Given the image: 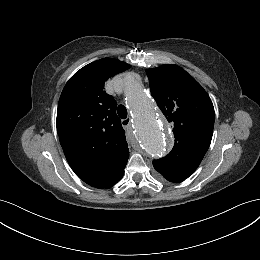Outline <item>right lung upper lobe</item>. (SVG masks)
Masks as SVG:
<instances>
[{
    "label": "right lung upper lobe",
    "instance_id": "obj_1",
    "mask_svg": "<svg viewBox=\"0 0 260 260\" xmlns=\"http://www.w3.org/2000/svg\"><path fill=\"white\" fill-rule=\"evenodd\" d=\"M130 65L104 58L77 71L58 103L57 132L76 175L95 188H109L124 174L129 158L117 103L104 90L105 81Z\"/></svg>",
    "mask_w": 260,
    "mask_h": 260
}]
</instances>
